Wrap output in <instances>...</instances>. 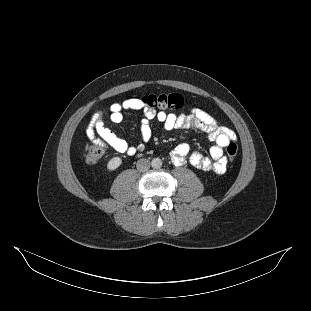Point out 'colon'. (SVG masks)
<instances>
[{
  "label": "colon",
  "instance_id": "colon-1",
  "mask_svg": "<svg viewBox=\"0 0 311 311\" xmlns=\"http://www.w3.org/2000/svg\"><path fill=\"white\" fill-rule=\"evenodd\" d=\"M142 101L149 107L162 111H176L183 108L186 104L184 97L176 93L151 94L145 96ZM104 151V146L102 145H95L91 147L85 155L86 162L88 164L97 163L104 155ZM226 151L230 161H233L236 158L238 152L236 143L231 142L227 146Z\"/></svg>",
  "mask_w": 311,
  "mask_h": 311
}]
</instances>
